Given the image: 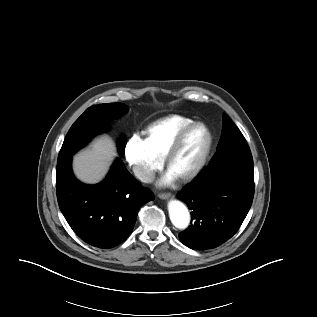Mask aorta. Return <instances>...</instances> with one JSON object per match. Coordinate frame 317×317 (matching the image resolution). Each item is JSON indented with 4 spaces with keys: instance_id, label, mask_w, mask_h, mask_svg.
<instances>
[{
    "instance_id": "aorta-1",
    "label": "aorta",
    "mask_w": 317,
    "mask_h": 317,
    "mask_svg": "<svg viewBox=\"0 0 317 317\" xmlns=\"http://www.w3.org/2000/svg\"><path fill=\"white\" fill-rule=\"evenodd\" d=\"M168 211L170 220L176 228L184 230L189 226L190 213L182 202L170 201Z\"/></svg>"
}]
</instances>
